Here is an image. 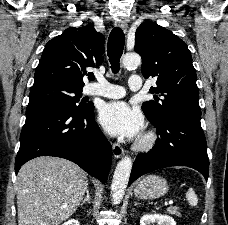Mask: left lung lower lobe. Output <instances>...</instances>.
Masks as SVG:
<instances>
[{"label": "left lung lower lobe", "mask_w": 228, "mask_h": 225, "mask_svg": "<svg viewBox=\"0 0 228 225\" xmlns=\"http://www.w3.org/2000/svg\"><path fill=\"white\" fill-rule=\"evenodd\" d=\"M152 124L158 134L156 145L150 152L136 157L128 184L143 174L171 166L196 169L207 181L209 160L200 118L172 114Z\"/></svg>", "instance_id": "0a47b994"}]
</instances>
